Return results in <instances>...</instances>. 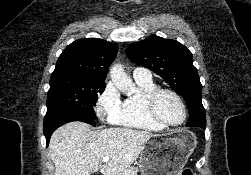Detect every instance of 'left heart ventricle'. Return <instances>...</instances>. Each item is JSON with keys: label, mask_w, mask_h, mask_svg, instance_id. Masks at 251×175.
<instances>
[{"label": "left heart ventricle", "mask_w": 251, "mask_h": 175, "mask_svg": "<svg viewBox=\"0 0 251 175\" xmlns=\"http://www.w3.org/2000/svg\"><path fill=\"white\" fill-rule=\"evenodd\" d=\"M156 110L160 118L169 125H179L184 119V109L171 93H162L158 97Z\"/></svg>", "instance_id": "b2bd125f"}]
</instances>
